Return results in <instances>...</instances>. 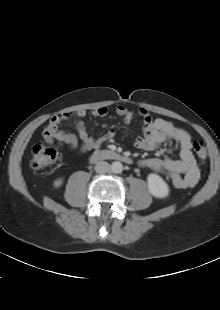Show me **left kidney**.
Instances as JSON below:
<instances>
[{"instance_id": "1", "label": "left kidney", "mask_w": 220, "mask_h": 310, "mask_svg": "<svg viewBox=\"0 0 220 310\" xmlns=\"http://www.w3.org/2000/svg\"><path fill=\"white\" fill-rule=\"evenodd\" d=\"M147 185L149 192L156 198H166L169 195V186L167 183L155 173H151L147 177Z\"/></svg>"}]
</instances>
